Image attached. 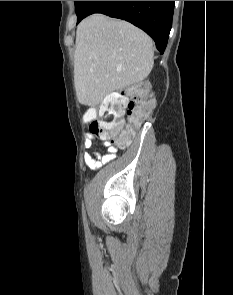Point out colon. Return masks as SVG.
I'll return each instance as SVG.
<instances>
[{"label": "colon", "mask_w": 233, "mask_h": 295, "mask_svg": "<svg viewBox=\"0 0 233 295\" xmlns=\"http://www.w3.org/2000/svg\"><path fill=\"white\" fill-rule=\"evenodd\" d=\"M146 91L145 84H137L109 95L101 107L86 113L90 132L110 145L124 147L131 144L153 107L145 98Z\"/></svg>", "instance_id": "colon-1"}]
</instances>
